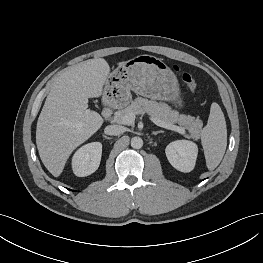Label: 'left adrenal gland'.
<instances>
[{
    "mask_svg": "<svg viewBox=\"0 0 263 263\" xmlns=\"http://www.w3.org/2000/svg\"><path fill=\"white\" fill-rule=\"evenodd\" d=\"M159 133H164V131L160 130V131H154V132H152L153 135H157V134H159Z\"/></svg>",
    "mask_w": 263,
    "mask_h": 263,
    "instance_id": "left-adrenal-gland-1",
    "label": "left adrenal gland"
}]
</instances>
